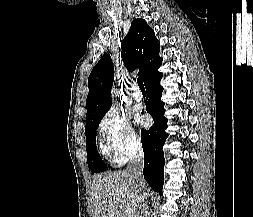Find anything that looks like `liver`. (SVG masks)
<instances>
[{"label": "liver", "mask_w": 253, "mask_h": 217, "mask_svg": "<svg viewBox=\"0 0 253 217\" xmlns=\"http://www.w3.org/2000/svg\"><path fill=\"white\" fill-rule=\"evenodd\" d=\"M133 181L127 170L93 176V217H138L140 209Z\"/></svg>", "instance_id": "6515ba94"}]
</instances>
